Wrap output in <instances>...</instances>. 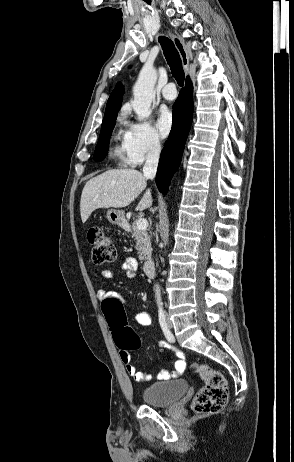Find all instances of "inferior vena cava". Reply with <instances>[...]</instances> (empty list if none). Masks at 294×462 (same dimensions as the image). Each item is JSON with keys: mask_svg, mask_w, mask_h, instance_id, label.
Returning a JSON list of instances; mask_svg holds the SVG:
<instances>
[{"mask_svg": "<svg viewBox=\"0 0 294 462\" xmlns=\"http://www.w3.org/2000/svg\"><path fill=\"white\" fill-rule=\"evenodd\" d=\"M161 146L160 143L152 142L146 157V162L143 167V173L146 178L154 179L157 171Z\"/></svg>", "mask_w": 294, "mask_h": 462, "instance_id": "inferior-vena-cava-1", "label": "inferior vena cava"}]
</instances>
